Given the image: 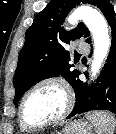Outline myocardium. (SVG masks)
<instances>
[{"label":"myocardium","instance_id":"myocardium-1","mask_svg":"<svg viewBox=\"0 0 116 134\" xmlns=\"http://www.w3.org/2000/svg\"><path fill=\"white\" fill-rule=\"evenodd\" d=\"M45 85H56L63 91L64 96H65V107L58 116H56L55 118H53L51 120H48L43 123H38V124L30 123L24 118V113H23L24 103L30 93H32L35 89H37L41 86H45ZM73 105H74V94H73L72 89L68 85V83L61 78L47 77V78L41 79V80L37 81L36 83H34L23 94V96L19 102V110H18L19 121L24 127L28 128V129H42V128H46L49 126H53V125H56V124L62 122L63 120H65V118L71 112Z\"/></svg>","mask_w":116,"mask_h":134}]
</instances>
